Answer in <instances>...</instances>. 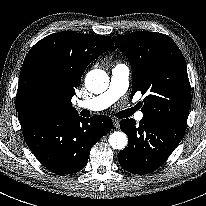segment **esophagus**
Wrapping results in <instances>:
<instances>
[{
  "label": "esophagus",
  "instance_id": "1",
  "mask_svg": "<svg viewBox=\"0 0 206 206\" xmlns=\"http://www.w3.org/2000/svg\"><path fill=\"white\" fill-rule=\"evenodd\" d=\"M113 125L116 128H119V121L117 119H113Z\"/></svg>",
  "mask_w": 206,
  "mask_h": 206
}]
</instances>
